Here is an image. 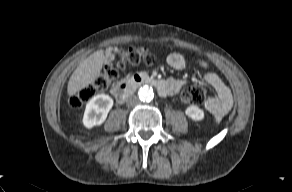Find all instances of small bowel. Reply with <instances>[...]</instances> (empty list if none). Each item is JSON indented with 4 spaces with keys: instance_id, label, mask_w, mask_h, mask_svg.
<instances>
[{
    "instance_id": "obj_1",
    "label": "small bowel",
    "mask_w": 292,
    "mask_h": 192,
    "mask_svg": "<svg viewBox=\"0 0 292 192\" xmlns=\"http://www.w3.org/2000/svg\"><path fill=\"white\" fill-rule=\"evenodd\" d=\"M120 53L118 48H111L105 54V63L110 65L114 57ZM168 65L175 70H184L186 68V60L180 53L174 52L167 57ZM197 64L205 70L203 75L204 81L209 84L216 92V97L206 103L207 110L212 114L215 121L221 120L232 106V94L223 80L214 72L209 70V65L203 60H198ZM186 84L181 78H170L167 80L168 92L172 95L178 93Z\"/></svg>"
}]
</instances>
